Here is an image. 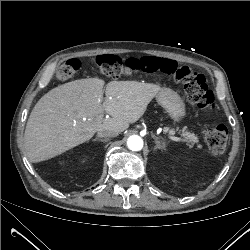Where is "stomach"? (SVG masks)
<instances>
[{
    "label": "stomach",
    "instance_id": "obj_1",
    "mask_svg": "<svg viewBox=\"0 0 250 250\" xmlns=\"http://www.w3.org/2000/svg\"><path fill=\"white\" fill-rule=\"evenodd\" d=\"M156 99L174 121H181L185 117V103L173 90L168 88L161 89L157 93Z\"/></svg>",
    "mask_w": 250,
    "mask_h": 250
}]
</instances>
